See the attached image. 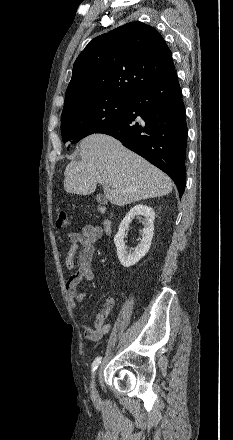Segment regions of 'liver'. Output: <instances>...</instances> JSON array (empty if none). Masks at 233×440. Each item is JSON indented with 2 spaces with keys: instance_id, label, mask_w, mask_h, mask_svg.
Wrapping results in <instances>:
<instances>
[{
  "instance_id": "1",
  "label": "liver",
  "mask_w": 233,
  "mask_h": 440,
  "mask_svg": "<svg viewBox=\"0 0 233 440\" xmlns=\"http://www.w3.org/2000/svg\"><path fill=\"white\" fill-rule=\"evenodd\" d=\"M80 157L65 168L68 193L89 195L99 183L113 205L124 206L172 191L168 175L109 135L92 134L81 140Z\"/></svg>"
}]
</instances>
